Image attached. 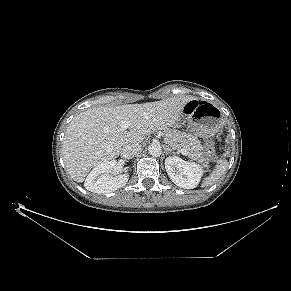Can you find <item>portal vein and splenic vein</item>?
<instances>
[{
  "label": "portal vein and splenic vein",
  "instance_id": "18ae733b",
  "mask_svg": "<svg viewBox=\"0 0 291 291\" xmlns=\"http://www.w3.org/2000/svg\"><path fill=\"white\" fill-rule=\"evenodd\" d=\"M132 126V123H131V121H129V120H126V121H123L122 123H121V129H123V130H126V129H128V128H130ZM182 155H188V153H187V151L185 150V149H180V151H179Z\"/></svg>",
  "mask_w": 291,
  "mask_h": 291
}]
</instances>
